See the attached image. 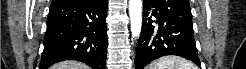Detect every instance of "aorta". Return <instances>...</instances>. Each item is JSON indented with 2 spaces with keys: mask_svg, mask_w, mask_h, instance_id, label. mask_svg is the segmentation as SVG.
Masks as SVG:
<instances>
[{
  "mask_svg": "<svg viewBox=\"0 0 246 69\" xmlns=\"http://www.w3.org/2000/svg\"><path fill=\"white\" fill-rule=\"evenodd\" d=\"M130 27L133 38H139L142 27V0H129Z\"/></svg>",
  "mask_w": 246,
  "mask_h": 69,
  "instance_id": "obj_1",
  "label": "aorta"
}]
</instances>
